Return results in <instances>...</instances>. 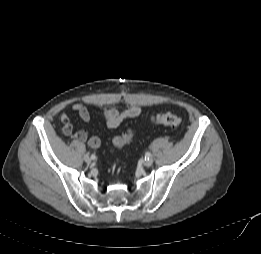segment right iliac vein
<instances>
[{
    "instance_id": "63e3f726",
    "label": "right iliac vein",
    "mask_w": 261,
    "mask_h": 254,
    "mask_svg": "<svg viewBox=\"0 0 261 254\" xmlns=\"http://www.w3.org/2000/svg\"><path fill=\"white\" fill-rule=\"evenodd\" d=\"M84 161L89 164V163H91L92 159L89 157V155H85Z\"/></svg>"
}]
</instances>
